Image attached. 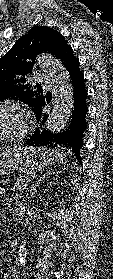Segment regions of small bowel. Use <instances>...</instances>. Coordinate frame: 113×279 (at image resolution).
Segmentation results:
<instances>
[{"label":"small bowel","instance_id":"obj_1","mask_svg":"<svg viewBox=\"0 0 113 279\" xmlns=\"http://www.w3.org/2000/svg\"><path fill=\"white\" fill-rule=\"evenodd\" d=\"M4 194V189L0 188V196ZM3 279H15L16 278V273L14 270H6L3 274Z\"/></svg>","mask_w":113,"mask_h":279}]
</instances>
